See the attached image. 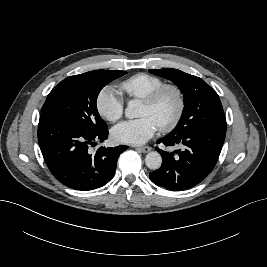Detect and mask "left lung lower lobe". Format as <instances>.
Masks as SVG:
<instances>
[{
  "mask_svg": "<svg viewBox=\"0 0 267 267\" xmlns=\"http://www.w3.org/2000/svg\"><path fill=\"white\" fill-rule=\"evenodd\" d=\"M226 128L197 129L178 136H165L157 143L182 145V149L166 152L158 147L163 163L149 174L150 180L168 190L182 191L199 184L213 170L221 152Z\"/></svg>",
  "mask_w": 267,
  "mask_h": 267,
  "instance_id": "obj_1",
  "label": "left lung lower lobe"
}]
</instances>
